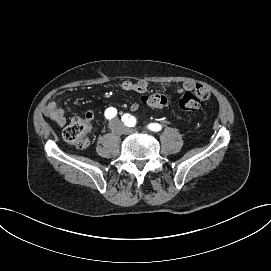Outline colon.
I'll list each match as a JSON object with an SVG mask.
<instances>
[{
    "instance_id": "colon-1",
    "label": "colon",
    "mask_w": 271,
    "mask_h": 271,
    "mask_svg": "<svg viewBox=\"0 0 271 271\" xmlns=\"http://www.w3.org/2000/svg\"><path fill=\"white\" fill-rule=\"evenodd\" d=\"M210 92L202 85H196L191 91L185 92L180 98L179 105L185 111H195L199 108L200 103L209 99ZM144 103L156 109L168 107L171 99L164 93H152L143 98ZM90 125L84 119L75 118L65 127L63 131L64 139L79 149H84L89 145Z\"/></svg>"
}]
</instances>
